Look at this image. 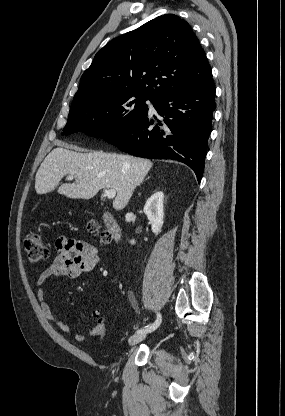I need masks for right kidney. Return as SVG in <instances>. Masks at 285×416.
Listing matches in <instances>:
<instances>
[{
  "mask_svg": "<svg viewBox=\"0 0 285 416\" xmlns=\"http://www.w3.org/2000/svg\"><path fill=\"white\" fill-rule=\"evenodd\" d=\"M163 200V192H155V194H153L151 198H148L144 206L143 212L144 214H146L151 224L152 232H154V234H159L163 226ZM131 244H135L134 240H131Z\"/></svg>",
  "mask_w": 285,
  "mask_h": 416,
  "instance_id": "right-kidney-1",
  "label": "right kidney"
}]
</instances>
